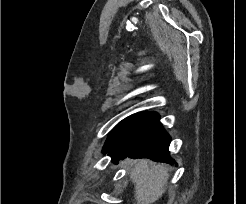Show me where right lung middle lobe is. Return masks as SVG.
Segmentation results:
<instances>
[{
	"instance_id": "dd1d6c3e",
	"label": "right lung middle lobe",
	"mask_w": 246,
	"mask_h": 204,
	"mask_svg": "<svg viewBox=\"0 0 246 204\" xmlns=\"http://www.w3.org/2000/svg\"><path fill=\"white\" fill-rule=\"evenodd\" d=\"M123 122V121H122ZM122 122H120L111 132L110 134L108 135V138L105 142V145L103 147V153L106 154L108 153L112 146L114 145L115 141H116V138H117V135L119 133V130H120V127H121V124Z\"/></svg>"
}]
</instances>
